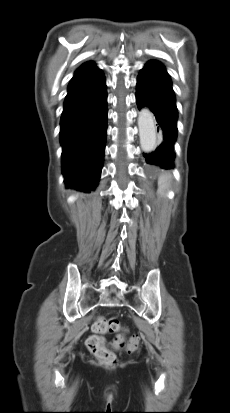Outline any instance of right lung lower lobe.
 Listing matches in <instances>:
<instances>
[{"label": "right lung lower lobe", "mask_w": 230, "mask_h": 413, "mask_svg": "<svg viewBox=\"0 0 230 413\" xmlns=\"http://www.w3.org/2000/svg\"><path fill=\"white\" fill-rule=\"evenodd\" d=\"M107 91L103 72L75 74L61 117L62 172L67 187L90 192L101 175L107 131Z\"/></svg>", "instance_id": "obj_1"}]
</instances>
